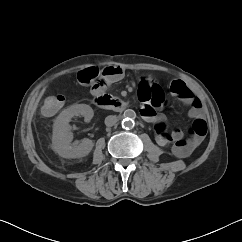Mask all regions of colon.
I'll return each instance as SVG.
<instances>
[{
  "mask_svg": "<svg viewBox=\"0 0 242 242\" xmlns=\"http://www.w3.org/2000/svg\"><path fill=\"white\" fill-rule=\"evenodd\" d=\"M80 82L97 86L105 82V76L100 73L97 68H87L79 74ZM172 91L179 97L184 95L183 86L179 82H175L171 86ZM139 94L142 98L150 100L153 105L159 106L163 99L164 94L161 87L150 79H143L140 83ZM64 97L60 94L48 95L43 103V112L46 115L56 113L63 105ZM193 131L205 135L207 132L206 126L200 122L193 125Z\"/></svg>",
  "mask_w": 242,
  "mask_h": 242,
  "instance_id": "obj_1",
  "label": "colon"
}]
</instances>
